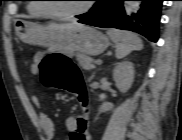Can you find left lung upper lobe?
<instances>
[{
    "mask_svg": "<svg viewBox=\"0 0 182 140\" xmlns=\"http://www.w3.org/2000/svg\"><path fill=\"white\" fill-rule=\"evenodd\" d=\"M99 1H100V0H98L97 4L99 3ZM97 4H95V6H96Z\"/></svg>",
    "mask_w": 182,
    "mask_h": 140,
    "instance_id": "1",
    "label": "left lung upper lobe"
}]
</instances>
